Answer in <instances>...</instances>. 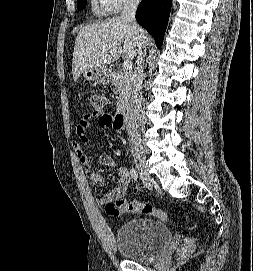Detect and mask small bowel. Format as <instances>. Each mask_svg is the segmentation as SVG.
I'll return each mask as SVG.
<instances>
[{
	"label": "small bowel",
	"instance_id": "1",
	"mask_svg": "<svg viewBox=\"0 0 253 271\" xmlns=\"http://www.w3.org/2000/svg\"><path fill=\"white\" fill-rule=\"evenodd\" d=\"M98 116L95 113H86L84 114L79 124L76 128L77 135L81 138L82 141H88L87 131L90 127L91 121L94 117ZM99 127L106 128V127H113L115 126L113 117L109 114L101 115L99 117ZM72 147L76 153V156L83 166L84 169L89 170L91 168V163L89 160L88 155L83 151L82 147L80 146L79 142L74 141L72 143ZM99 162L106 166H114V161L112 157L108 154H102L99 158ZM131 175L127 168L121 167L119 168V180L117 186L108 193L101 194L98 197V200L101 204L105 205L106 211L112 216H120L125 213V211H120L115 208L108 209L107 205L111 204L114 201H117L123 198L126 195L127 188L131 181ZM90 180L96 186H104L105 185V177L101 172H92L90 174Z\"/></svg>",
	"mask_w": 253,
	"mask_h": 271
}]
</instances>
